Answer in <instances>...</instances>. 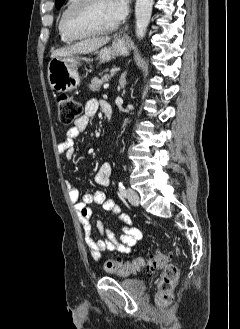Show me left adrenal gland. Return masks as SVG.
<instances>
[{"label": "left adrenal gland", "mask_w": 240, "mask_h": 329, "mask_svg": "<svg viewBox=\"0 0 240 329\" xmlns=\"http://www.w3.org/2000/svg\"><path fill=\"white\" fill-rule=\"evenodd\" d=\"M125 77H126V72H124V73L121 75V77H120V81H119V83H120V87H121V88H124V87H125V84H126V79H125Z\"/></svg>", "instance_id": "a2214340"}]
</instances>
